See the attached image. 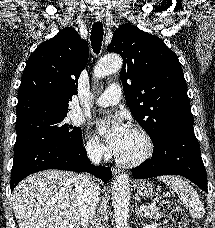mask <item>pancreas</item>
Here are the masks:
<instances>
[{
    "label": "pancreas",
    "instance_id": "pancreas-1",
    "mask_svg": "<svg viewBox=\"0 0 215 228\" xmlns=\"http://www.w3.org/2000/svg\"><path fill=\"white\" fill-rule=\"evenodd\" d=\"M145 216L149 218V220H160L161 212L159 208H147V210H145Z\"/></svg>",
    "mask_w": 215,
    "mask_h": 228
}]
</instances>
